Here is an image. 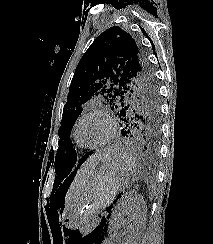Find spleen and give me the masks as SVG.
Segmentation results:
<instances>
[{"instance_id": "1", "label": "spleen", "mask_w": 213, "mask_h": 244, "mask_svg": "<svg viewBox=\"0 0 213 244\" xmlns=\"http://www.w3.org/2000/svg\"><path fill=\"white\" fill-rule=\"evenodd\" d=\"M120 157L122 159V161L124 162V166L125 168L130 172V173H134L137 175H141L142 173L139 170V167L135 161V158L131 155H129L126 152H122V154H120Z\"/></svg>"}]
</instances>
